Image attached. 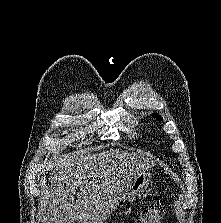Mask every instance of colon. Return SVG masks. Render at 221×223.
<instances>
[{
  "mask_svg": "<svg viewBox=\"0 0 221 223\" xmlns=\"http://www.w3.org/2000/svg\"><path fill=\"white\" fill-rule=\"evenodd\" d=\"M164 216V208L159 201L150 204L132 223H160Z\"/></svg>",
  "mask_w": 221,
  "mask_h": 223,
  "instance_id": "colon-1",
  "label": "colon"
}]
</instances>
